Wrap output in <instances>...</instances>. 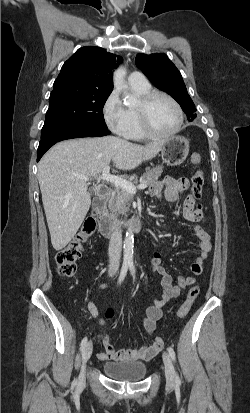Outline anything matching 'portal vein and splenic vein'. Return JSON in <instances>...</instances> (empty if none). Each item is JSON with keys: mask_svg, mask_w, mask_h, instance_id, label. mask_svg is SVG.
Wrapping results in <instances>:
<instances>
[{"mask_svg": "<svg viewBox=\"0 0 250 413\" xmlns=\"http://www.w3.org/2000/svg\"><path fill=\"white\" fill-rule=\"evenodd\" d=\"M110 167L106 166L103 169L102 175H100L99 177H96L95 179L97 180H104L110 183H113L119 187H121L122 189H124L125 191L134 194L136 192L137 189L143 190L145 188H147V183L146 182H142L141 184H139L138 186H135L132 182L125 180L121 177L118 176H114L111 175L109 173ZM82 179L84 180H89L88 177L85 176H81Z\"/></svg>", "mask_w": 250, "mask_h": 413, "instance_id": "obj_1", "label": "portal vein and splenic vein"}]
</instances>
